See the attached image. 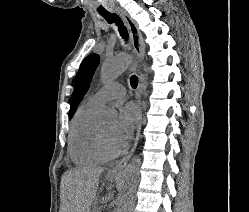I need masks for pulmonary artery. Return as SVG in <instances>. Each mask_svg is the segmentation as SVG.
I'll return each instance as SVG.
<instances>
[{
  "instance_id": "obj_1",
  "label": "pulmonary artery",
  "mask_w": 249,
  "mask_h": 212,
  "mask_svg": "<svg viewBox=\"0 0 249 212\" xmlns=\"http://www.w3.org/2000/svg\"><path fill=\"white\" fill-rule=\"evenodd\" d=\"M125 94L126 89L123 84L116 81L99 89L89 98V101L99 107L110 100L122 98Z\"/></svg>"
}]
</instances>
